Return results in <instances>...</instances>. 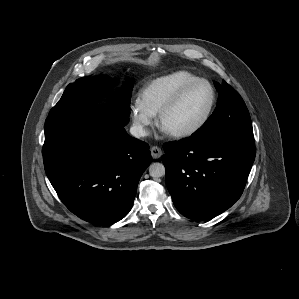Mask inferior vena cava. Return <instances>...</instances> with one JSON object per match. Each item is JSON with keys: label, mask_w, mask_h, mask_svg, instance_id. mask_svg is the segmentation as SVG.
Returning a JSON list of instances; mask_svg holds the SVG:
<instances>
[{"label": "inferior vena cava", "mask_w": 299, "mask_h": 299, "mask_svg": "<svg viewBox=\"0 0 299 299\" xmlns=\"http://www.w3.org/2000/svg\"><path fill=\"white\" fill-rule=\"evenodd\" d=\"M130 133L135 138H140L148 135L147 131L143 128V126L137 124L131 126Z\"/></svg>", "instance_id": "1"}]
</instances>
